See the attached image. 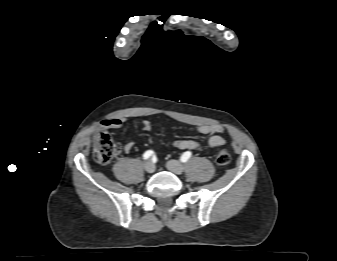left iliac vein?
Here are the masks:
<instances>
[{"label":"left iliac vein","mask_w":337,"mask_h":261,"mask_svg":"<svg viewBox=\"0 0 337 261\" xmlns=\"http://www.w3.org/2000/svg\"><path fill=\"white\" fill-rule=\"evenodd\" d=\"M168 170H170L171 172H173L176 175H181L184 171V166L176 161V160H169L166 164Z\"/></svg>","instance_id":"left-iliac-vein-1"}]
</instances>
